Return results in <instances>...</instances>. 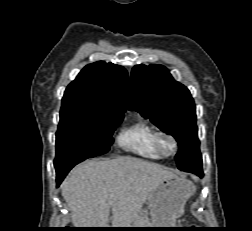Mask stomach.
I'll use <instances>...</instances> for the list:
<instances>
[{
  "mask_svg": "<svg viewBox=\"0 0 252 231\" xmlns=\"http://www.w3.org/2000/svg\"><path fill=\"white\" fill-rule=\"evenodd\" d=\"M194 192L189 180L177 176L164 180L148 198L150 220L141 221L136 228H178L176 220Z\"/></svg>",
  "mask_w": 252,
  "mask_h": 231,
  "instance_id": "obj_1",
  "label": "stomach"
}]
</instances>
